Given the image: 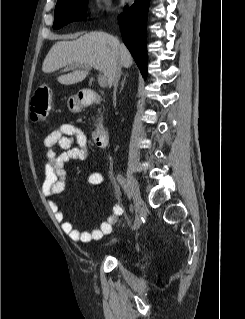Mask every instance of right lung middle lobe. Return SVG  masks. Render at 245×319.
<instances>
[{
    "mask_svg": "<svg viewBox=\"0 0 245 319\" xmlns=\"http://www.w3.org/2000/svg\"><path fill=\"white\" fill-rule=\"evenodd\" d=\"M87 0H57L55 7L54 29L82 20L85 17Z\"/></svg>",
    "mask_w": 245,
    "mask_h": 319,
    "instance_id": "obj_1",
    "label": "right lung middle lobe"
}]
</instances>
